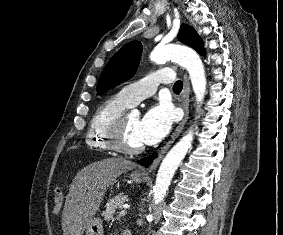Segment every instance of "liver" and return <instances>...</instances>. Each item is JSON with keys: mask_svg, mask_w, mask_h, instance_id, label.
<instances>
[{"mask_svg": "<svg viewBox=\"0 0 283 235\" xmlns=\"http://www.w3.org/2000/svg\"><path fill=\"white\" fill-rule=\"evenodd\" d=\"M136 166L123 158H108L79 171L66 196L62 213L63 234L82 235L98 211L108 187L118 176Z\"/></svg>", "mask_w": 283, "mask_h": 235, "instance_id": "liver-1", "label": "liver"}]
</instances>
